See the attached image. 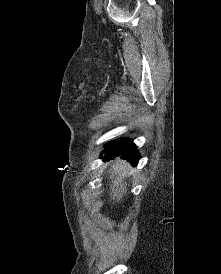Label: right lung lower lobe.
<instances>
[{"label":"right lung lower lobe","mask_w":221,"mask_h":274,"mask_svg":"<svg viewBox=\"0 0 221 274\" xmlns=\"http://www.w3.org/2000/svg\"><path fill=\"white\" fill-rule=\"evenodd\" d=\"M103 153L105 154L104 159H114L117 156H121V158L127 159L133 165H136L140 158L131 139L115 140L106 145Z\"/></svg>","instance_id":"right-lung-lower-lobe-1"}]
</instances>
